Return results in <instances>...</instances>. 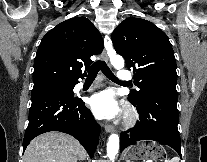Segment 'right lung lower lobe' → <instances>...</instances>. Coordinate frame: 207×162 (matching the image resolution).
<instances>
[{
	"label": "right lung lower lobe",
	"mask_w": 207,
	"mask_h": 162,
	"mask_svg": "<svg viewBox=\"0 0 207 162\" xmlns=\"http://www.w3.org/2000/svg\"><path fill=\"white\" fill-rule=\"evenodd\" d=\"M31 100L23 150L36 136L49 131H60L78 139L90 157H93L100 127L82 99L51 89L32 93Z\"/></svg>",
	"instance_id": "right-lung-lower-lobe-1"
}]
</instances>
